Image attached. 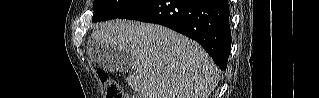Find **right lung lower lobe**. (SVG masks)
<instances>
[{
    "instance_id": "1",
    "label": "right lung lower lobe",
    "mask_w": 319,
    "mask_h": 98,
    "mask_svg": "<svg viewBox=\"0 0 319 98\" xmlns=\"http://www.w3.org/2000/svg\"><path fill=\"white\" fill-rule=\"evenodd\" d=\"M227 0H146L118 17L169 27L199 42L221 70L231 48Z\"/></svg>"
}]
</instances>
